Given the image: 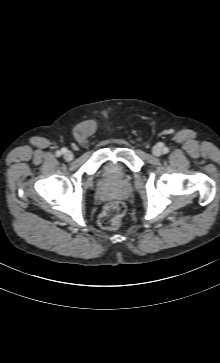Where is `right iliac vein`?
<instances>
[{
	"mask_svg": "<svg viewBox=\"0 0 220 363\" xmlns=\"http://www.w3.org/2000/svg\"><path fill=\"white\" fill-rule=\"evenodd\" d=\"M73 158H74V155H73V153L71 151H65L64 152V159L66 161H71V160H73Z\"/></svg>",
	"mask_w": 220,
	"mask_h": 363,
	"instance_id": "right-iliac-vein-1",
	"label": "right iliac vein"
}]
</instances>
